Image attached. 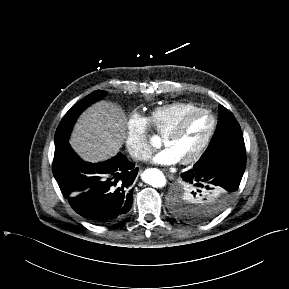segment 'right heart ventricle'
<instances>
[{"mask_svg":"<svg viewBox=\"0 0 289 289\" xmlns=\"http://www.w3.org/2000/svg\"><path fill=\"white\" fill-rule=\"evenodd\" d=\"M200 108L191 102H173L154 108L149 115V121L155 130L164 136L186 113Z\"/></svg>","mask_w":289,"mask_h":289,"instance_id":"obj_1","label":"right heart ventricle"}]
</instances>
